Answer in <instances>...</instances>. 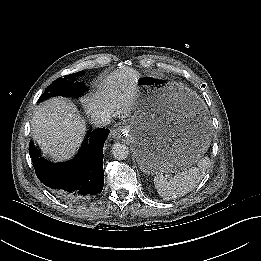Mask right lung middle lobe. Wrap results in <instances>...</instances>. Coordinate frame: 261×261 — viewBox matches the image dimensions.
I'll return each mask as SVG.
<instances>
[{"label":"right lung middle lobe","mask_w":261,"mask_h":261,"mask_svg":"<svg viewBox=\"0 0 261 261\" xmlns=\"http://www.w3.org/2000/svg\"><path fill=\"white\" fill-rule=\"evenodd\" d=\"M83 73V71H80L58 78L47 88L46 93L40 97V100L51 96L78 97L86 90L82 82L76 81L77 77L82 76Z\"/></svg>","instance_id":"obj_1"}]
</instances>
